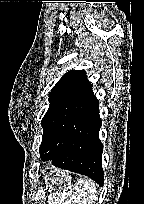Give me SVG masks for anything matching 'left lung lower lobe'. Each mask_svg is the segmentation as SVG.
Instances as JSON below:
<instances>
[{"mask_svg":"<svg viewBox=\"0 0 144 204\" xmlns=\"http://www.w3.org/2000/svg\"><path fill=\"white\" fill-rule=\"evenodd\" d=\"M101 125L99 102L91 86L81 107L71 119L64 139L41 158L51 160L56 167L84 174L103 186V145L98 133Z\"/></svg>","mask_w":144,"mask_h":204,"instance_id":"obj_1","label":"left lung lower lobe"}]
</instances>
